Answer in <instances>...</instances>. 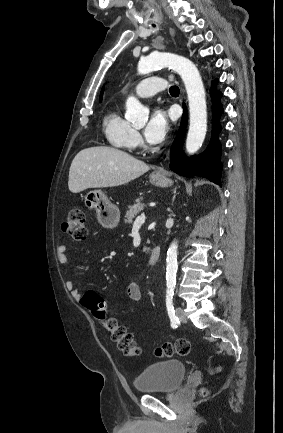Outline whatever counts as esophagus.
I'll return each instance as SVG.
<instances>
[{
  "instance_id": "esophagus-1",
  "label": "esophagus",
  "mask_w": 283,
  "mask_h": 433,
  "mask_svg": "<svg viewBox=\"0 0 283 433\" xmlns=\"http://www.w3.org/2000/svg\"><path fill=\"white\" fill-rule=\"evenodd\" d=\"M169 32H170L171 36L174 38L175 37V30L169 29ZM162 171H164V170H162Z\"/></svg>"
}]
</instances>
